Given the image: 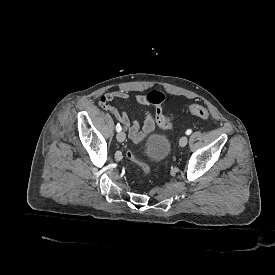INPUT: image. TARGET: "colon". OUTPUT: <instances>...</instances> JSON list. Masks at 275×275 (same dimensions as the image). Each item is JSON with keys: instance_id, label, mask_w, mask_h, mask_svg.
I'll return each mask as SVG.
<instances>
[{"instance_id": "1", "label": "colon", "mask_w": 275, "mask_h": 275, "mask_svg": "<svg viewBox=\"0 0 275 275\" xmlns=\"http://www.w3.org/2000/svg\"><path fill=\"white\" fill-rule=\"evenodd\" d=\"M144 99L148 103H152V102L156 103V117L159 120V124H160L159 126L164 129L170 128L173 123L172 118L166 117L163 113L162 108L159 107V104H162L165 102V100H166L165 95L158 91H151V92H148L145 94ZM189 110H190L191 114H193L197 117H200L206 121H208L210 119L209 112L202 106L192 105V106H190ZM127 156L130 160H132L134 163H136V165L139 167V169L141 170V172L143 174L148 173V167L142 160L139 159L138 155L134 151H132V150L129 151Z\"/></svg>"}]
</instances>
